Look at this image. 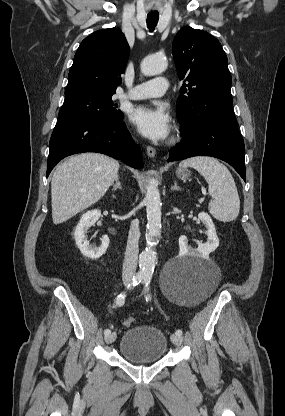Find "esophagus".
<instances>
[{"mask_svg":"<svg viewBox=\"0 0 285 416\" xmlns=\"http://www.w3.org/2000/svg\"><path fill=\"white\" fill-rule=\"evenodd\" d=\"M146 151H147V155H148L150 158H153V157L155 156V154H156V150H155V148H154V147H152V146H147Z\"/></svg>","mask_w":285,"mask_h":416,"instance_id":"esophagus-1","label":"esophagus"}]
</instances>
